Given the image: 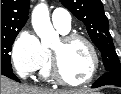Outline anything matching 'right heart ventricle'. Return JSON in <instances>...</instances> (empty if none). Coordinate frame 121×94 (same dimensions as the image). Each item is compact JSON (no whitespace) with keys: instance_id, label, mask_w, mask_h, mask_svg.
I'll use <instances>...</instances> for the list:
<instances>
[{"instance_id":"obj_1","label":"right heart ventricle","mask_w":121,"mask_h":94,"mask_svg":"<svg viewBox=\"0 0 121 94\" xmlns=\"http://www.w3.org/2000/svg\"><path fill=\"white\" fill-rule=\"evenodd\" d=\"M62 34H66L68 33L69 30H61L59 28H57ZM45 49V52H46V60L42 66V71H41V74L43 77L45 78H49L51 77V58H50V51L46 48Z\"/></svg>"}]
</instances>
